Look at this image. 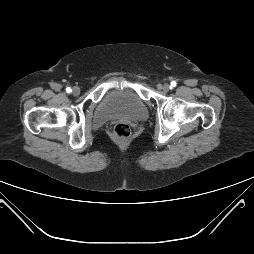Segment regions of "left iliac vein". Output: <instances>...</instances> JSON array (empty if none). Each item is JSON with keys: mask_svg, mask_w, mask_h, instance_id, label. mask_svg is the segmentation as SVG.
Masks as SVG:
<instances>
[{"mask_svg": "<svg viewBox=\"0 0 254 254\" xmlns=\"http://www.w3.org/2000/svg\"><path fill=\"white\" fill-rule=\"evenodd\" d=\"M162 89L164 92H168L170 90V86L168 84H164Z\"/></svg>", "mask_w": 254, "mask_h": 254, "instance_id": "1", "label": "left iliac vein"}]
</instances>
